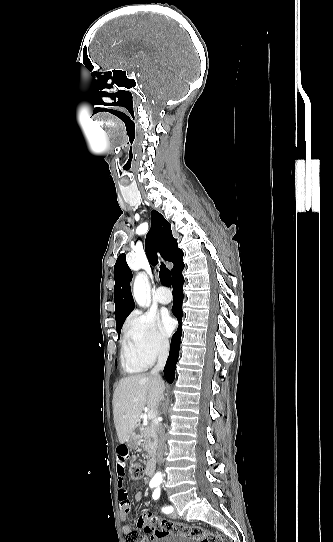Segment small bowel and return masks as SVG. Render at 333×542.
Listing matches in <instances>:
<instances>
[{
  "label": "small bowel",
  "mask_w": 333,
  "mask_h": 542,
  "mask_svg": "<svg viewBox=\"0 0 333 542\" xmlns=\"http://www.w3.org/2000/svg\"><path fill=\"white\" fill-rule=\"evenodd\" d=\"M129 457V450L126 445H120L117 448V460H116V471H117V498L119 503V511L122 519H126L131 513V504L129 501L128 491L125 484V475H126V462ZM142 485H147L148 477H141ZM136 501H139L141 495L138 493L136 495ZM123 533L128 536L132 531V527L129 525L123 526Z\"/></svg>",
  "instance_id": "obj_1"
}]
</instances>
